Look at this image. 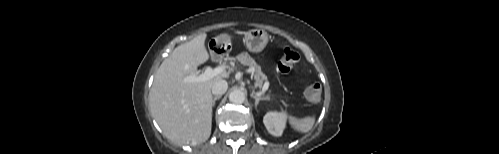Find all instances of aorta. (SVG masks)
Wrapping results in <instances>:
<instances>
[{
    "label": "aorta",
    "instance_id": "1",
    "mask_svg": "<svg viewBox=\"0 0 499 154\" xmlns=\"http://www.w3.org/2000/svg\"><path fill=\"white\" fill-rule=\"evenodd\" d=\"M229 101L234 104H242L245 101V93L242 90H234L229 94Z\"/></svg>",
    "mask_w": 499,
    "mask_h": 154
}]
</instances>
